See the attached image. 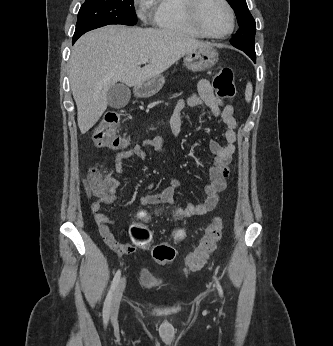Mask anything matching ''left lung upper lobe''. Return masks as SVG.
<instances>
[{"label":"left lung upper lobe","instance_id":"left-lung-upper-lobe-1","mask_svg":"<svg viewBox=\"0 0 333 346\" xmlns=\"http://www.w3.org/2000/svg\"><path fill=\"white\" fill-rule=\"evenodd\" d=\"M235 11L239 29L231 39V44L244 51L252 60L256 59L255 54V32L256 23L252 17L245 0H227Z\"/></svg>","mask_w":333,"mask_h":346}]
</instances>
